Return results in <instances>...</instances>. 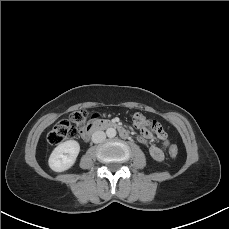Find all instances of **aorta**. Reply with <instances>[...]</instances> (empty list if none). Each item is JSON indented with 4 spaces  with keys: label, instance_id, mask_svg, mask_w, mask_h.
<instances>
[{
    "label": "aorta",
    "instance_id": "1",
    "mask_svg": "<svg viewBox=\"0 0 229 229\" xmlns=\"http://www.w3.org/2000/svg\"><path fill=\"white\" fill-rule=\"evenodd\" d=\"M116 130H115V128H108L107 130H106V135L109 137V138H113V137H115L116 136Z\"/></svg>",
    "mask_w": 229,
    "mask_h": 229
}]
</instances>
